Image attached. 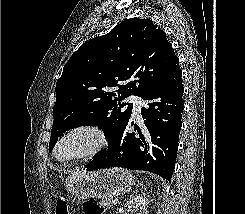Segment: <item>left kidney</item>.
I'll use <instances>...</instances> for the list:
<instances>
[{"instance_id":"obj_1","label":"left kidney","mask_w":245,"mask_h":214,"mask_svg":"<svg viewBox=\"0 0 245 214\" xmlns=\"http://www.w3.org/2000/svg\"><path fill=\"white\" fill-rule=\"evenodd\" d=\"M126 207L131 214H148L147 202L145 197L136 196L127 202Z\"/></svg>"}]
</instances>
